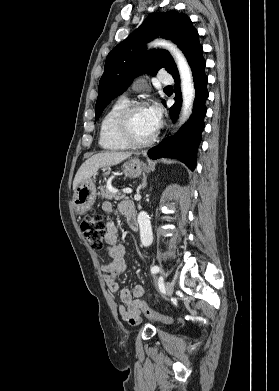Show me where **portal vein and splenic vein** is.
<instances>
[{"label":"portal vein and splenic vein","mask_w":279,"mask_h":391,"mask_svg":"<svg viewBox=\"0 0 279 391\" xmlns=\"http://www.w3.org/2000/svg\"><path fill=\"white\" fill-rule=\"evenodd\" d=\"M122 192H123L124 194H131V193H132V189L126 188V189H123Z\"/></svg>","instance_id":"portal-vein-and-splenic-vein-1"}]
</instances>
